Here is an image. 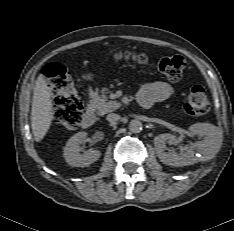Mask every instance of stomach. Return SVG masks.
<instances>
[{
	"mask_svg": "<svg viewBox=\"0 0 234 231\" xmlns=\"http://www.w3.org/2000/svg\"><path fill=\"white\" fill-rule=\"evenodd\" d=\"M86 78H87V79H92V78H93V75H92L91 73H89V74L86 75Z\"/></svg>",
	"mask_w": 234,
	"mask_h": 231,
	"instance_id": "0dacf381",
	"label": "stomach"
}]
</instances>
